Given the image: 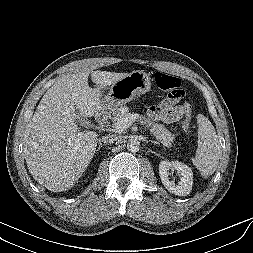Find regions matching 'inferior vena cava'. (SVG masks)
I'll list each match as a JSON object with an SVG mask.
<instances>
[{"instance_id": "1", "label": "inferior vena cava", "mask_w": 253, "mask_h": 253, "mask_svg": "<svg viewBox=\"0 0 253 253\" xmlns=\"http://www.w3.org/2000/svg\"><path fill=\"white\" fill-rule=\"evenodd\" d=\"M116 135H109V136H104L99 139V143L107 144V143H114L117 140Z\"/></svg>"}]
</instances>
